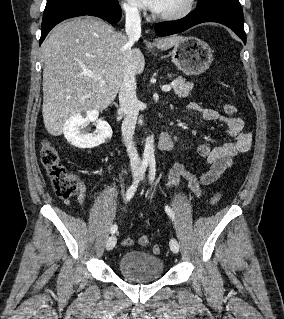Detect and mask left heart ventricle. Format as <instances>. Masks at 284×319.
I'll return each mask as SVG.
<instances>
[{"mask_svg": "<svg viewBox=\"0 0 284 319\" xmlns=\"http://www.w3.org/2000/svg\"><path fill=\"white\" fill-rule=\"evenodd\" d=\"M186 0H162L159 9L156 11L157 14H168L180 10Z\"/></svg>", "mask_w": 284, "mask_h": 319, "instance_id": "obj_1", "label": "left heart ventricle"}]
</instances>
